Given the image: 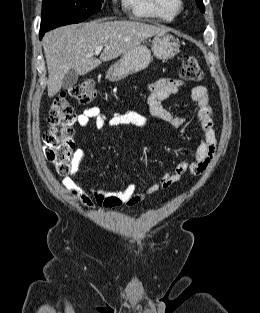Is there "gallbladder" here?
Returning <instances> with one entry per match:
<instances>
[{
    "label": "gallbladder",
    "instance_id": "bac80fb5",
    "mask_svg": "<svg viewBox=\"0 0 260 313\" xmlns=\"http://www.w3.org/2000/svg\"><path fill=\"white\" fill-rule=\"evenodd\" d=\"M79 75L75 71H69L63 78L62 88L63 89H71L78 81Z\"/></svg>",
    "mask_w": 260,
    "mask_h": 313
}]
</instances>
